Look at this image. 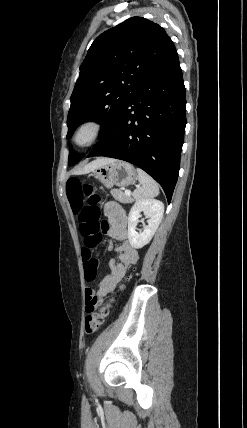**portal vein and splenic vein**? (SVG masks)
<instances>
[{
  "label": "portal vein and splenic vein",
  "mask_w": 247,
  "mask_h": 428,
  "mask_svg": "<svg viewBox=\"0 0 247 428\" xmlns=\"http://www.w3.org/2000/svg\"><path fill=\"white\" fill-rule=\"evenodd\" d=\"M125 194L130 196L131 195V191L130 190H125Z\"/></svg>",
  "instance_id": "18ae733b"
}]
</instances>
